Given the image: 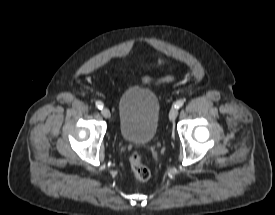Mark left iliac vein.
I'll list each match as a JSON object with an SVG mask.
<instances>
[{"mask_svg":"<svg viewBox=\"0 0 275 215\" xmlns=\"http://www.w3.org/2000/svg\"><path fill=\"white\" fill-rule=\"evenodd\" d=\"M178 115V109L173 107L169 112V120L174 121Z\"/></svg>","mask_w":275,"mask_h":215,"instance_id":"obj_1","label":"left iliac vein"}]
</instances>
